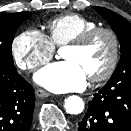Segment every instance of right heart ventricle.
Returning a JSON list of instances; mask_svg holds the SVG:
<instances>
[{
	"label": "right heart ventricle",
	"instance_id": "right-heart-ventricle-1",
	"mask_svg": "<svg viewBox=\"0 0 131 131\" xmlns=\"http://www.w3.org/2000/svg\"><path fill=\"white\" fill-rule=\"evenodd\" d=\"M94 27H97V23L87 17L64 14L47 22V38L54 47H62Z\"/></svg>",
	"mask_w": 131,
	"mask_h": 131
}]
</instances>
